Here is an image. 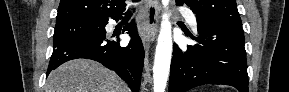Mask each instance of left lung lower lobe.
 Returning <instances> with one entry per match:
<instances>
[{"instance_id": "1", "label": "left lung lower lobe", "mask_w": 289, "mask_h": 92, "mask_svg": "<svg viewBox=\"0 0 289 92\" xmlns=\"http://www.w3.org/2000/svg\"><path fill=\"white\" fill-rule=\"evenodd\" d=\"M177 5L182 3L177 2ZM198 44L182 51L174 44L169 92L203 84L230 85L248 91L247 60L241 26L197 17Z\"/></svg>"}]
</instances>
